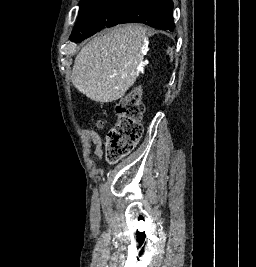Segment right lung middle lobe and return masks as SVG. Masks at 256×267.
Masks as SVG:
<instances>
[{
  "label": "right lung middle lobe",
  "mask_w": 256,
  "mask_h": 267,
  "mask_svg": "<svg viewBox=\"0 0 256 267\" xmlns=\"http://www.w3.org/2000/svg\"><path fill=\"white\" fill-rule=\"evenodd\" d=\"M140 0H81L78 24L70 40L80 42L97 31L112 26Z\"/></svg>",
  "instance_id": "right-lung-middle-lobe-1"
}]
</instances>
